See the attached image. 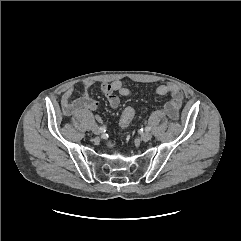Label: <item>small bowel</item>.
<instances>
[{
  "mask_svg": "<svg viewBox=\"0 0 241 241\" xmlns=\"http://www.w3.org/2000/svg\"><path fill=\"white\" fill-rule=\"evenodd\" d=\"M91 82L84 83L79 97L73 99L75 88L68 87L61 98V105L63 114L70 117L82 109L96 110L98 102L88 96V89ZM101 93L107 98L111 109H117L120 104V97L129 96L133 90L124 86L122 81L114 80L112 82H104L100 85ZM155 92L159 95H170L171 99L165 104L164 110L172 120L178 119L179 111L183 103V92L175 84L168 83L156 87ZM109 147H113L112 141L108 142Z\"/></svg>",
  "mask_w": 241,
  "mask_h": 241,
  "instance_id": "obj_1",
  "label": "small bowel"
}]
</instances>
